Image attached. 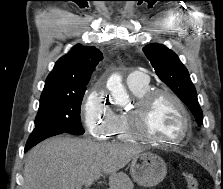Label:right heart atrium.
Listing matches in <instances>:
<instances>
[{
    "label": "right heart atrium",
    "instance_id": "d8ad5b80",
    "mask_svg": "<svg viewBox=\"0 0 223 189\" xmlns=\"http://www.w3.org/2000/svg\"><path fill=\"white\" fill-rule=\"evenodd\" d=\"M81 113L86 130L98 139L110 137L115 113L109 105L105 92L100 87L92 88L83 100Z\"/></svg>",
    "mask_w": 223,
    "mask_h": 189
}]
</instances>
